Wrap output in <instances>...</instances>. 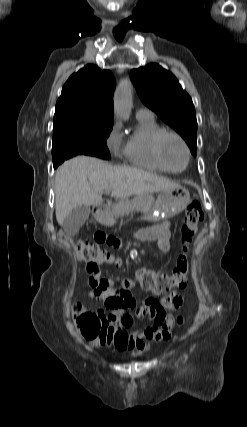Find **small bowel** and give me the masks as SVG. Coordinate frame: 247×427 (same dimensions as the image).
Segmentation results:
<instances>
[{"mask_svg": "<svg viewBox=\"0 0 247 427\" xmlns=\"http://www.w3.org/2000/svg\"><path fill=\"white\" fill-rule=\"evenodd\" d=\"M135 238L141 241H156L162 252L170 250V223L164 222L136 233ZM95 243L106 246L109 250L121 249L122 240L116 239L112 232L104 229L95 231ZM86 270L89 274L88 284L91 296L100 303L97 314L105 326L103 343H113L120 350H144L150 342L159 343L171 337L174 317L170 311L178 309L183 297L172 293L160 301L148 298L138 302L131 290L136 286L131 279L120 281V287L114 288V281L100 277V268L95 263H88ZM105 310H109L108 314ZM135 317H147L149 324L128 331L134 324Z\"/></svg>", "mask_w": 247, "mask_h": 427, "instance_id": "obj_1", "label": "small bowel"}]
</instances>
